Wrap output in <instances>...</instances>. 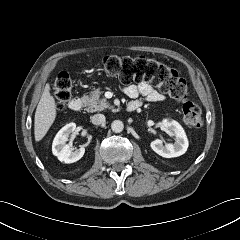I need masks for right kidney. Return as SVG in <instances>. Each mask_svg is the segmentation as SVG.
<instances>
[{
	"label": "right kidney",
	"mask_w": 240,
	"mask_h": 240,
	"mask_svg": "<svg viewBox=\"0 0 240 240\" xmlns=\"http://www.w3.org/2000/svg\"><path fill=\"white\" fill-rule=\"evenodd\" d=\"M76 129L75 123H69L65 125L59 132L56 134L53 144L52 152L61 162L64 163H74L80 160L84 153L85 148L81 147L73 151L68 144H66L68 137Z\"/></svg>",
	"instance_id": "ca27d5eb"
}]
</instances>
